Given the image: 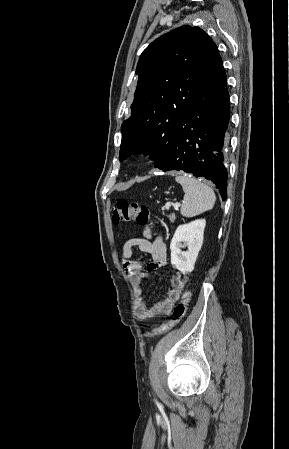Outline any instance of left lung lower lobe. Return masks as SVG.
<instances>
[{"label": "left lung lower lobe", "mask_w": 289, "mask_h": 449, "mask_svg": "<svg viewBox=\"0 0 289 449\" xmlns=\"http://www.w3.org/2000/svg\"><path fill=\"white\" fill-rule=\"evenodd\" d=\"M227 77L219 54L211 62L193 103L176 124L167 157L156 163L163 172L184 171L211 180L226 199L228 173L224 165L230 99Z\"/></svg>", "instance_id": "left-lung-lower-lobe-1"}]
</instances>
